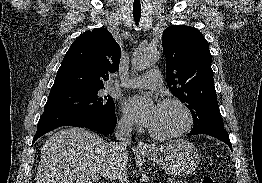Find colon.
<instances>
[{"instance_id":"colon-1","label":"colon","mask_w":262,"mask_h":183,"mask_svg":"<svg viewBox=\"0 0 262 183\" xmlns=\"http://www.w3.org/2000/svg\"><path fill=\"white\" fill-rule=\"evenodd\" d=\"M200 183H217V182L212 176L205 175L201 178Z\"/></svg>"}]
</instances>
